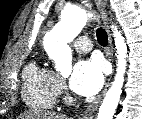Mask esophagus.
<instances>
[{"label":"esophagus","mask_w":142,"mask_h":119,"mask_svg":"<svg viewBox=\"0 0 142 119\" xmlns=\"http://www.w3.org/2000/svg\"><path fill=\"white\" fill-rule=\"evenodd\" d=\"M96 5L97 8L101 14V17L104 21V24L106 26V30H107V34H108V49H107V56L109 58L110 61H112L113 59V45H112V38H111V33L109 30V27L107 25V11H106V3L103 0H96ZM109 84H110V79L108 80V82L106 83L102 93L97 97V99L92 102L90 105H88V107L85 109V111L80 115V119H92L99 104L101 103L102 98L104 97V95L107 92V89L109 88Z\"/></svg>","instance_id":"obj_1"}]
</instances>
